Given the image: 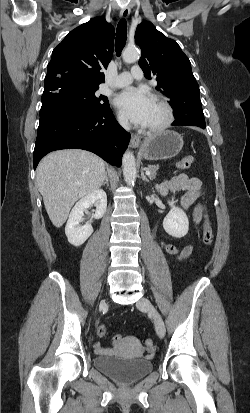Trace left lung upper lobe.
Returning a JSON list of instances; mask_svg holds the SVG:
<instances>
[{"instance_id": "left-lung-upper-lobe-1", "label": "left lung upper lobe", "mask_w": 250, "mask_h": 413, "mask_svg": "<svg viewBox=\"0 0 250 413\" xmlns=\"http://www.w3.org/2000/svg\"><path fill=\"white\" fill-rule=\"evenodd\" d=\"M135 43L142 50L138 63L145 77L156 76V89L170 98L172 107L200 98L191 63L176 41L159 32L151 22L144 21L137 26Z\"/></svg>"}]
</instances>
